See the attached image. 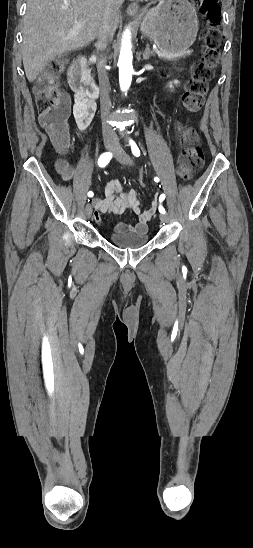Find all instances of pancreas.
Returning <instances> with one entry per match:
<instances>
[{
	"mask_svg": "<svg viewBox=\"0 0 253 548\" xmlns=\"http://www.w3.org/2000/svg\"><path fill=\"white\" fill-rule=\"evenodd\" d=\"M155 52L158 54L159 58L164 60H177L181 57H185L189 55L188 51H185L184 53H180V54H175V53L166 52L162 49H156Z\"/></svg>",
	"mask_w": 253,
	"mask_h": 548,
	"instance_id": "cf45deb5",
	"label": "pancreas"
}]
</instances>
